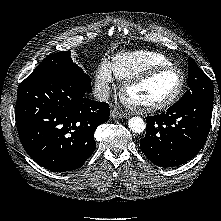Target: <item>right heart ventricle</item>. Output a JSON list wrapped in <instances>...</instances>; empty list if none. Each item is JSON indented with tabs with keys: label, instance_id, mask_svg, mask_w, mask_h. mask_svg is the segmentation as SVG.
I'll return each instance as SVG.
<instances>
[{
	"label": "right heart ventricle",
	"instance_id": "obj_1",
	"mask_svg": "<svg viewBox=\"0 0 221 221\" xmlns=\"http://www.w3.org/2000/svg\"><path fill=\"white\" fill-rule=\"evenodd\" d=\"M166 65H173L169 58L161 53L146 50L118 53L110 62L111 70L119 80H125L151 67Z\"/></svg>",
	"mask_w": 221,
	"mask_h": 221
}]
</instances>
